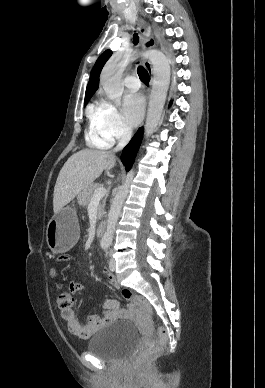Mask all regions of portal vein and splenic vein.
<instances>
[{
	"mask_svg": "<svg viewBox=\"0 0 265 388\" xmlns=\"http://www.w3.org/2000/svg\"><path fill=\"white\" fill-rule=\"evenodd\" d=\"M105 194L106 188H97V190H94L92 200H96V198H104Z\"/></svg>",
	"mask_w": 265,
	"mask_h": 388,
	"instance_id": "1",
	"label": "portal vein and splenic vein"
}]
</instances>
